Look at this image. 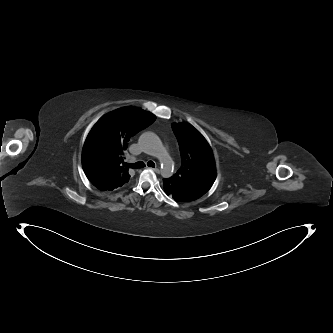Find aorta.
I'll return each mask as SVG.
<instances>
[{
    "label": "aorta",
    "mask_w": 333,
    "mask_h": 333,
    "mask_svg": "<svg viewBox=\"0 0 333 333\" xmlns=\"http://www.w3.org/2000/svg\"><path fill=\"white\" fill-rule=\"evenodd\" d=\"M139 144L158 161L161 175L169 178L173 173L174 162L160 138L153 132H145L139 137Z\"/></svg>",
    "instance_id": "aorta-1"
}]
</instances>
